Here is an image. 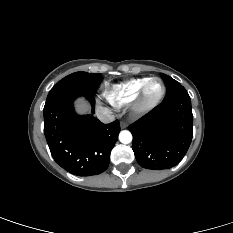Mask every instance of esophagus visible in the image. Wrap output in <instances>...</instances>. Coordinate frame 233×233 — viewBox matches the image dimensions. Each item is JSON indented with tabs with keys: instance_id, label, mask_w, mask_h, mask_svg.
<instances>
[{
	"instance_id": "esophagus-1",
	"label": "esophagus",
	"mask_w": 233,
	"mask_h": 233,
	"mask_svg": "<svg viewBox=\"0 0 233 233\" xmlns=\"http://www.w3.org/2000/svg\"><path fill=\"white\" fill-rule=\"evenodd\" d=\"M120 126H121L122 129H124V128L127 127V123L124 122V121H122V122L120 123Z\"/></svg>"
}]
</instances>
